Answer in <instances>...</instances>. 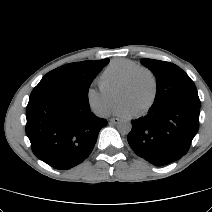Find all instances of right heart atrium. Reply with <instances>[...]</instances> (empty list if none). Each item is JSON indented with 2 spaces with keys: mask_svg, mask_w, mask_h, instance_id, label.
Here are the masks:
<instances>
[{
  "mask_svg": "<svg viewBox=\"0 0 212 212\" xmlns=\"http://www.w3.org/2000/svg\"><path fill=\"white\" fill-rule=\"evenodd\" d=\"M86 97L90 109L100 116H104L108 113L113 102L112 94L102 87L99 89H89Z\"/></svg>",
  "mask_w": 212,
  "mask_h": 212,
  "instance_id": "1",
  "label": "right heart atrium"
}]
</instances>
